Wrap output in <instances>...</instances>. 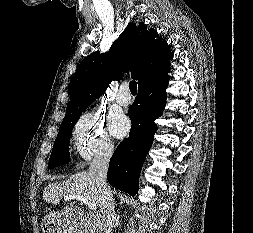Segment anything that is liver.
<instances>
[{"mask_svg": "<svg viewBox=\"0 0 253 233\" xmlns=\"http://www.w3.org/2000/svg\"><path fill=\"white\" fill-rule=\"evenodd\" d=\"M80 195L89 202L100 206V193L95 177L87 172H80L58 183L49 184L43 191V200L58 204L62 197Z\"/></svg>", "mask_w": 253, "mask_h": 233, "instance_id": "6515ba94", "label": "liver"}]
</instances>
